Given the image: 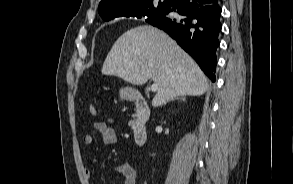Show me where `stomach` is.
<instances>
[{"instance_id": "stomach-1", "label": "stomach", "mask_w": 293, "mask_h": 184, "mask_svg": "<svg viewBox=\"0 0 293 184\" xmlns=\"http://www.w3.org/2000/svg\"><path fill=\"white\" fill-rule=\"evenodd\" d=\"M137 95L138 92L131 87H126L120 90V96L123 99L133 100Z\"/></svg>"}]
</instances>
